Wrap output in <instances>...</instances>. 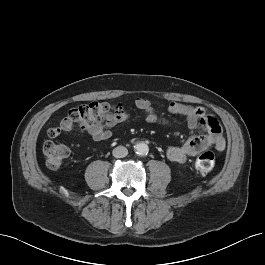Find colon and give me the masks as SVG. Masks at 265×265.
<instances>
[{
    "label": "colon",
    "instance_id": "5ec220e1",
    "mask_svg": "<svg viewBox=\"0 0 265 265\" xmlns=\"http://www.w3.org/2000/svg\"><path fill=\"white\" fill-rule=\"evenodd\" d=\"M119 112V107L107 102H93L80 105L71 109L58 126L48 129L47 134L50 138H56L63 132L72 130L75 126L85 128L102 119L115 118ZM213 134L221 132L220 124L215 120L210 125ZM69 148L62 143L47 141L43 146V154L46 165L51 169L59 168L68 158ZM215 166V154L206 151L200 154L195 160L196 170L201 174L210 173Z\"/></svg>",
    "mask_w": 265,
    "mask_h": 265
}]
</instances>
